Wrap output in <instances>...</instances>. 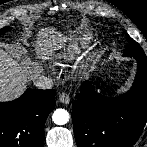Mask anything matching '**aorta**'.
<instances>
[{
  "instance_id": "1",
  "label": "aorta",
  "mask_w": 147,
  "mask_h": 147,
  "mask_svg": "<svg viewBox=\"0 0 147 147\" xmlns=\"http://www.w3.org/2000/svg\"><path fill=\"white\" fill-rule=\"evenodd\" d=\"M52 120L57 125H64L69 121V113L65 109H56L52 115Z\"/></svg>"
}]
</instances>
